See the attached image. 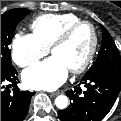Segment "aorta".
Instances as JSON below:
<instances>
[{
  "label": "aorta",
  "instance_id": "aorta-1",
  "mask_svg": "<svg viewBox=\"0 0 121 121\" xmlns=\"http://www.w3.org/2000/svg\"><path fill=\"white\" fill-rule=\"evenodd\" d=\"M68 97L65 95L57 96L55 99L56 107L59 109H65L68 107Z\"/></svg>",
  "mask_w": 121,
  "mask_h": 121
}]
</instances>
